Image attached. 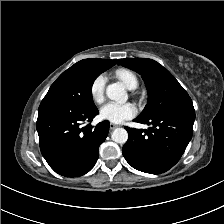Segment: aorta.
I'll use <instances>...</instances> for the list:
<instances>
[{"mask_svg":"<svg viewBox=\"0 0 224 224\" xmlns=\"http://www.w3.org/2000/svg\"><path fill=\"white\" fill-rule=\"evenodd\" d=\"M106 95L109 99L124 103L128 99V94L121 83H113L107 86ZM114 142L125 144L128 140V132L124 128H116L111 135Z\"/></svg>","mask_w":224,"mask_h":224,"instance_id":"1","label":"aorta"}]
</instances>
